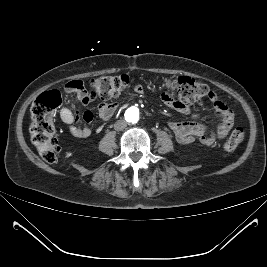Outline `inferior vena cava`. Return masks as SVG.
Returning a JSON list of instances; mask_svg holds the SVG:
<instances>
[{"label":"inferior vena cava","mask_w":267,"mask_h":267,"mask_svg":"<svg viewBox=\"0 0 267 267\" xmlns=\"http://www.w3.org/2000/svg\"><path fill=\"white\" fill-rule=\"evenodd\" d=\"M127 127V122L125 120H117L114 124V129L117 131L123 130Z\"/></svg>","instance_id":"obj_1"}]
</instances>
